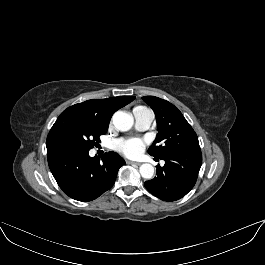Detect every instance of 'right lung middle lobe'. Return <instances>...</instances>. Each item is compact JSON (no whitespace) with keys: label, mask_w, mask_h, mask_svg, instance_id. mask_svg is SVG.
I'll return each instance as SVG.
<instances>
[{"label":"right lung middle lobe","mask_w":265,"mask_h":265,"mask_svg":"<svg viewBox=\"0 0 265 265\" xmlns=\"http://www.w3.org/2000/svg\"><path fill=\"white\" fill-rule=\"evenodd\" d=\"M107 130L108 124L88 116L77 114L59 116L47 136V153L87 152L98 144L99 136L104 135Z\"/></svg>","instance_id":"right-lung-middle-lobe-1"}]
</instances>
